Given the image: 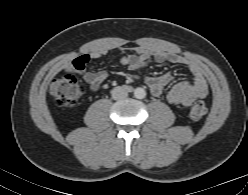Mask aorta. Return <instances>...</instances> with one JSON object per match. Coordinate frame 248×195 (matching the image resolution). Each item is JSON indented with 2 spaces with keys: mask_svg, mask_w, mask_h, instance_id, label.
Returning a JSON list of instances; mask_svg holds the SVG:
<instances>
[{
  "mask_svg": "<svg viewBox=\"0 0 248 195\" xmlns=\"http://www.w3.org/2000/svg\"><path fill=\"white\" fill-rule=\"evenodd\" d=\"M134 96L138 99H143L146 96V91L143 88H136L134 90Z\"/></svg>",
  "mask_w": 248,
  "mask_h": 195,
  "instance_id": "762f6f07",
  "label": "aorta"
}]
</instances>
